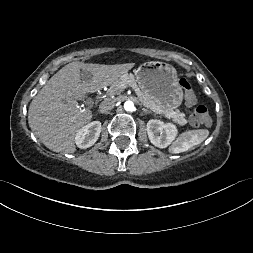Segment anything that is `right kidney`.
Segmentation results:
<instances>
[{"label":"right kidney","instance_id":"right-kidney-1","mask_svg":"<svg viewBox=\"0 0 253 253\" xmlns=\"http://www.w3.org/2000/svg\"><path fill=\"white\" fill-rule=\"evenodd\" d=\"M101 132V122L93 121L82 127L75 136V143L81 149H86L95 144Z\"/></svg>","mask_w":253,"mask_h":253}]
</instances>
